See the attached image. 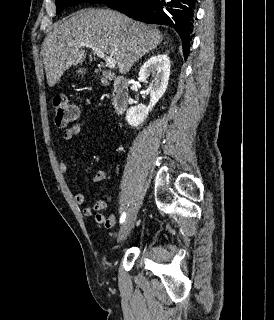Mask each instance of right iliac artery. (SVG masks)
I'll list each match as a JSON object with an SVG mask.
<instances>
[{"label": "right iliac artery", "instance_id": "82829eb1", "mask_svg": "<svg viewBox=\"0 0 274 320\" xmlns=\"http://www.w3.org/2000/svg\"><path fill=\"white\" fill-rule=\"evenodd\" d=\"M125 218H126V213L123 212V214H122L121 217H120V223H121V224L125 221Z\"/></svg>", "mask_w": 274, "mask_h": 320}]
</instances>
